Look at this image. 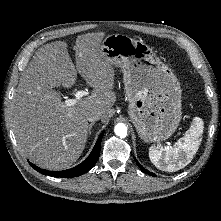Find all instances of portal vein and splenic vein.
<instances>
[{"label": "portal vein and splenic vein", "instance_id": "obj_1", "mask_svg": "<svg viewBox=\"0 0 221 221\" xmlns=\"http://www.w3.org/2000/svg\"><path fill=\"white\" fill-rule=\"evenodd\" d=\"M88 91L79 90L75 93V99H67L64 101L65 106H73L80 100L83 96L87 95Z\"/></svg>", "mask_w": 221, "mask_h": 221}]
</instances>
